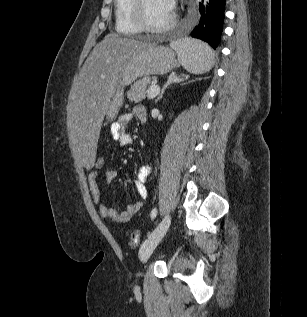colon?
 I'll return each instance as SVG.
<instances>
[{"mask_svg": "<svg viewBox=\"0 0 307 317\" xmlns=\"http://www.w3.org/2000/svg\"><path fill=\"white\" fill-rule=\"evenodd\" d=\"M105 166V160L102 156H98L96 159H95V164H94V168L96 170H101L102 168H104ZM139 236H140V233L139 231H133L130 236H129V243L131 245H136L138 243V240H139Z\"/></svg>", "mask_w": 307, "mask_h": 317, "instance_id": "colon-1", "label": "colon"}]
</instances>
